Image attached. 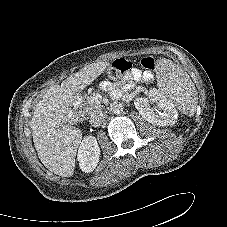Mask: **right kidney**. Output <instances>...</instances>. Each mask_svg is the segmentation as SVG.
Segmentation results:
<instances>
[{"label": "right kidney", "mask_w": 227, "mask_h": 227, "mask_svg": "<svg viewBox=\"0 0 227 227\" xmlns=\"http://www.w3.org/2000/svg\"><path fill=\"white\" fill-rule=\"evenodd\" d=\"M100 148L94 136L85 137L79 147L77 159L81 170L85 173L92 172L98 165Z\"/></svg>", "instance_id": "right-kidney-1"}]
</instances>
